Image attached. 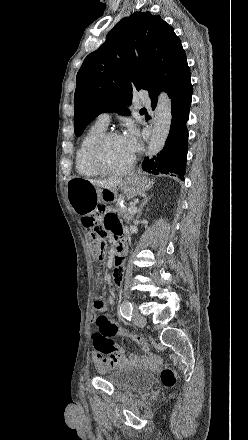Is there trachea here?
<instances>
[{"label": "trachea", "instance_id": "trachea-1", "mask_svg": "<svg viewBox=\"0 0 248 440\" xmlns=\"http://www.w3.org/2000/svg\"><path fill=\"white\" fill-rule=\"evenodd\" d=\"M141 111H145V109H144V108H142V109H141Z\"/></svg>", "mask_w": 248, "mask_h": 440}]
</instances>
